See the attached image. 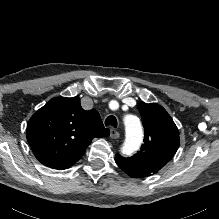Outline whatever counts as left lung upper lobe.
Masks as SVG:
<instances>
[{
    "instance_id": "5c2ea615",
    "label": "left lung upper lobe",
    "mask_w": 219,
    "mask_h": 219,
    "mask_svg": "<svg viewBox=\"0 0 219 219\" xmlns=\"http://www.w3.org/2000/svg\"><path fill=\"white\" fill-rule=\"evenodd\" d=\"M144 144L133 157L116 154L117 165L131 177H148L160 171L179 147V132L167 111L156 103L140 102Z\"/></svg>"
}]
</instances>
